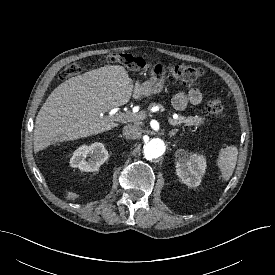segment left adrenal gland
Here are the masks:
<instances>
[{
  "label": "left adrenal gland",
  "instance_id": "1",
  "mask_svg": "<svg viewBox=\"0 0 275 275\" xmlns=\"http://www.w3.org/2000/svg\"><path fill=\"white\" fill-rule=\"evenodd\" d=\"M177 132H178V129H173L172 131L169 132V136L172 137L176 135Z\"/></svg>",
  "mask_w": 275,
  "mask_h": 275
}]
</instances>
